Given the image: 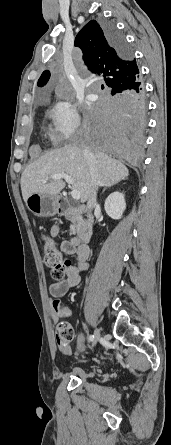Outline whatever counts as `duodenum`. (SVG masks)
<instances>
[{
    "label": "duodenum",
    "mask_w": 171,
    "mask_h": 445,
    "mask_svg": "<svg viewBox=\"0 0 171 445\" xmlns=\"http://www.w3.org/2000/svg\"><path fill=\"white\" fill-rule=\"evenodd\" d=\"M57 213L60 216L76 218L79 222V239L83 243L90 240L93 233L94 221L91 212L87 207L81 206L74 208L64 196H59L57 201Z\"/></svg>",
    "instance_id": "obj_1"
}]
</instances>
